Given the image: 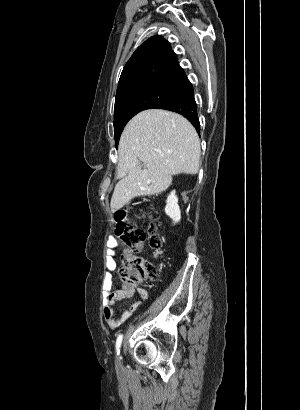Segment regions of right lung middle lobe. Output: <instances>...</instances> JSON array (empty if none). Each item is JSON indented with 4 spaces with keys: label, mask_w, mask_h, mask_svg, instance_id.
<instances>
[{
    "label": "right lung middle lobe",
    "mask_w": 300,
    "mask_h": 410,
    "mask_svg": "<svg viewBox=\"0 0 300 410\" xmlns=\"http://www.w3.org/2000/svg\"><path fill=\"white\" fill-rule=\"evenodd\" d=\"M189 85L187 82L141 83L116 94L114 136L116 146L126 123L137 113L160 108L176 99Z\"/></svg>",
    "instance_id": "right-lung-middle-lobe-1"
}]
</instances>
